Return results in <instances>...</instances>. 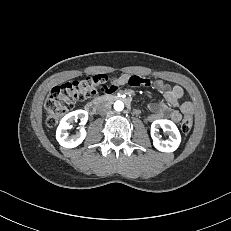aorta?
<instances>
[{
    "instance_id": "aorta-1",
    "label": "aorta",
    "mask_w": 231,
    "mask_h": 231,
    "mask_svg": "<svg viewBox=\"0 0 231 231\" xmlns=\"http://www.w3.org/2000/svg\"><path fill=\"white\" fill-rule=\"evenodd\" d=\"M114 109L116 111H122L124 109V103L122 101H116L114 103Z\"/></svg>"
}]
</instances>
